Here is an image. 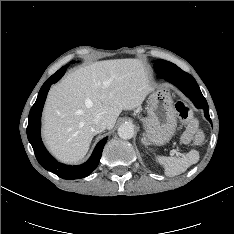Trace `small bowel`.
<instances>
[{
  "label": "small bowel",
  "instance_id": "obj_1",
  "mask_svg": "<svg viewBox=\"0 0 234 234\" xmlns=\"http://www.w3.org/2000/svg\"><path fill=\"white\" fill-rule=\"evenodd\" d=\"M192 133H193L192 130L187 129V130L185 131L184 135H183V140H184L185 142H188V141L190 140V138H191Z\"/></svg>",
  "mask_w": 234,
  "mask_h": 234
}]
</instances>
